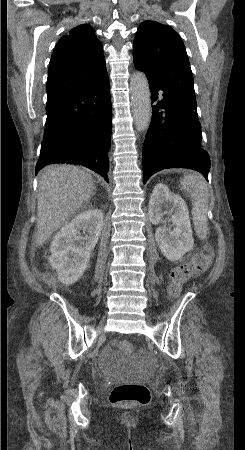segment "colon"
<instances>
[{
    "label": "colon",
    "mask_w": 245,
    "mask_h": 450,
    "mask_svg": "<svg viewBox=\"0 0 245 450\" xmlns=\"http://www.w3.org/2000/svg\"><path fill=\"white\" fill-rule=\"evenodd\" d=\"M211 258L212 249L204 247L189 262L176 266L170 274L169 294L174 298L177 297L181 293L182 285L189 277L209 267ZM117 346L123 354L132 353V344L128 341H119ZM109 400L114 404L143 405L149 402L150 391L142 384H120L113 388Z\"/></svg>",
    "instance_id": "obj_1"
}]
</instances>
